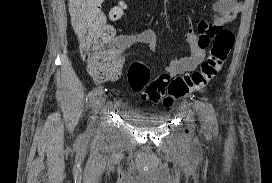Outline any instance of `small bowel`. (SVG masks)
Returning <instances> with one entry per match:
<instances>
[{
  "mask_svg": "<svg viewBox=\"0 0 272 183\" xmlns=\"http://www.w3.org/2000/svg\"><path fill=\"white\" fill-rule=\"evenodd\" d=\"M243 8L244 3L239 0H217L214 2L215 18L211 23L200 22L198 32L193 27L189 28L185 35V40L190 46V55L170 61L167 65L168 75L174 77L195 70L206 56L209 39H212L214 34H219V28H223L233 21ZM109 28L112 32L110 43L119 56V64L112 68L104 78L94 76L97 81L115 79L122 66L121 54L133 45L145 44L152 51H155L157 48V35L152 29H145L135 34L116 35L113 27L109 26Z\"/></svg>",
  "mask_w": 272,
  "mask_h": 183,
  "instance_id": "c3829d8e",
  "label": "small bowel"
}]
</instances>
